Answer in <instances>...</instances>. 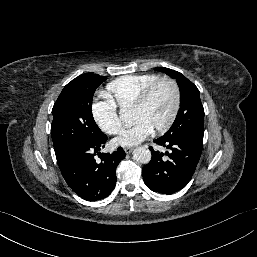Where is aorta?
<instances>
[{"instance_id": "1", "label": "aorta", "mask_w": 257, "mask_h": 257, "mask_svg": "<svg viewBox=\"0 0 257 257\" xmlns=\"http://www.w3.org/2000/svg\"><path fill=\"white\" fill-rule=\"evenodd\" d=\"M120 114H121V118L124 119V117H125L124 112L121 111ZM133 158H134V160H136L139 163L147 164L151 160V152L146 147H143V146L137 147L133 151Z\"/></svg>"}]
</instances>
